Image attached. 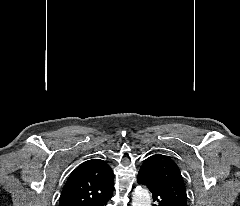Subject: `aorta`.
<instances>
[{
	"label": "aorta",
	"mask_w": 240,
	"mask_h": 206,
	"mask_svg": "<svg viewBox=\"0 0 240 206\" xmlns=\"http://www.w3.org/2000/svg\"><path fill=\"white\" fill-rule=\"evenodd\" d=\"M132 206H151V196L148 190L137 187L132 196Z\"/></svg>",
	"instance_id": "aorta-1"
}]
</instances>
